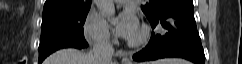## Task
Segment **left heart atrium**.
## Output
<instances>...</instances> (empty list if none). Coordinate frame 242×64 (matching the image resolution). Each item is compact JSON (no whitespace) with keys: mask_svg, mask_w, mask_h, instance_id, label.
I'll return each mask as SVG.
<instances>
[{"mask_svg":"<svg viewBox=\"0 0 242 64\" xmlns=\"http://www.w3.org/2000/svg\"><path fill=\"white\" fill-rule=\"evenodd\" d=\"M139 30L138 19L132 10H125L119 16L116 33L122 38L131 39Z\"/></svg>","mask_w":242,"mask_h":64,"instance_id":"39dd6f15","label":"left heart atrium"}]
</instances>
